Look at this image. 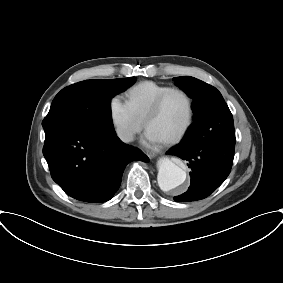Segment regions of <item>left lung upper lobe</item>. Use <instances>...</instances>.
<instances>
[{
  "label": "left lung upper lobe",
  "mask_w": 283,
  "mask_h": 283,
  "mask_svg": "<svg viewBox=\"0 0 283 283\" xmlns=\"http://www.w3.org/2000/svg\"><path fill=\"white\" fill-rule=\"evenodd\" d=\"M173 80L193 99L194 122L206 118V141L224 147H235V132L232 114L221 93L213 86L190 76ZM223 104L217 109L216 104Z\"/></svg>",
  "instance_id": "obj_1"
}]
</instances>
